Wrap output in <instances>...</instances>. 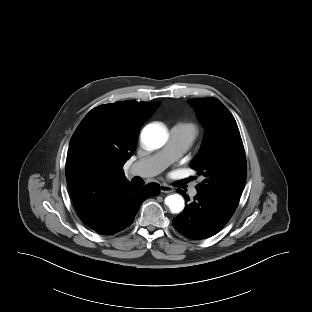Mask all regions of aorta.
Here are the masks:
<instances>
[{"mask_svg": "<svg viewBox=\"0 0 312 312\" xmlns=\"http://www.w3.org/2000/svg\"><path fill=\"white\" fill-rule=\"evenodd\" d=\"M141 137L147 147L157 149L166 143L168 134L164 127L151 124L143 129ZM165 204L172 213H179L184 209V199L178 194L167 196Z\"/></svg>", "mask_w": 312, "mask_h": 312, "instance_id": "1", "label": "aorta"}]
</instances>
